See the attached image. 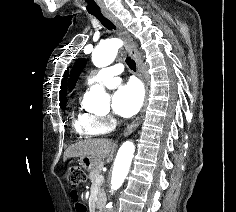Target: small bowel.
<instances>
[{
	"instance_id": "c3829d8e",
	"label": "small bowel",
	"mask_w": 236,
	"mask_h": 212,
	"mask_svg": "<svg viewBox=\"0 0 236 212\" xmlns=\"http://www.w3.org/2000/svg\"><path fill=\"white\" fill-rule=\"evenodd\" d=\"M69 195H72V197H69V202H74L75 205H73L74 212H89L88 205H80L85 204V199H80L78 190H69Z\"/></svg>"
}]
</instances>
